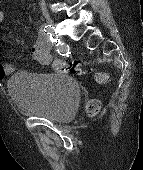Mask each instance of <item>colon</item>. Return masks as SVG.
Returning a JSON list of instances; mask_svg holds the SVG:
<instances>
[{"label": "colon", "mask_w": 143, "mask_h": 170, "mask_svg": "<svg viewBox=\"0 0 143 170\" xmlns=\"http://www.w3.org/2000/svg\"><path fill=\"white\" fill-rule=\"evenodd\" d=\"M57 70L59 71H62V70H66V69H70L72 72H75V73H81L82 72V67H81V64L79 63H74L71 67H69L67 65V63L63 62V61H60L57 63ZM96 79L97 81L103 83V82H107L109 77L105 74H98L96 76ZM99 109V104L98 102L96 101H91L89 104H88V110L90 113H96Z\"/></svg>", "instance_id": "5ec220e1"}]
</instances>
